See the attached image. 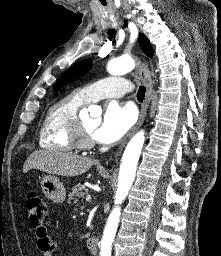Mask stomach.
<instances>
[{"instance_id":"stomach-1","label":"stomach","mask_w":221,"mask_h":256,"mask_svg":"<svg viewBox=\"0 0 221 256\" xmlns=\"http://www.w3.org/2000/svg\"><path fill=\"white\" fill-rule=\"evenodd\" d=\"M41 189L43 194L56 203H62L66 198V189L59 178L46 175L42 178Z\"/></svg>"}]
</instances>
